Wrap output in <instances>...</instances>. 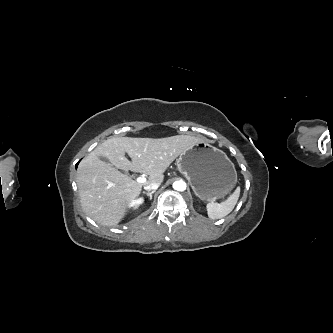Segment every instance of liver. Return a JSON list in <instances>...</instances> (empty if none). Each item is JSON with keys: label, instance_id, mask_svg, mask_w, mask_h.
Wrapping results in <instances>:
<instances>
[{"label": "liver", "instance_id": "1", "mask_svg": "<svg viewBox=\"0 0 333 333\" xmlns=\"http://www.w3.org/2000/svg\"><path fill=\"white\" fill-rule=\"evenodd\" d=\"M200 141L190 135L107 139L78 166L76 182L84 211L100 225H117L127 214L129 205L140 196L142 186L153 182L161 184L169 165ZM125 153L132 161L125 157ZM118 169L143 173L148 179L138 183Z\"/></svg>", "mask_w": 333, "mask_h": 333}]
</instances>
